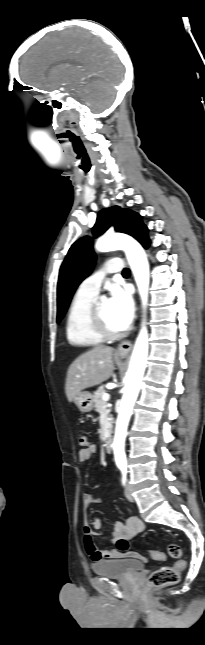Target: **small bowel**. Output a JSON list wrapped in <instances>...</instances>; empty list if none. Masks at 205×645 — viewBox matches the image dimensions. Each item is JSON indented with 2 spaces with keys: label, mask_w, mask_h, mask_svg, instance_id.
I'll list each match as a JSON object with an SVG mask.
<instances>
[{
  "label": "small bowel",
  "mask_w": 205,
  "mask_h": 645,
  "mask_svg": "<svg viewBox=\"0 0 205 645\" xmlns=\"http://www.w3.org/2000/svg\"><path fill=\"white\" fill-rule=\"evenodd\" d=\"M96 453L97 447L95 445H90L88 448L81 449L78 452V460L79 462H86ZM101 502V498L95 495L89 493H85L83 495L85 510L89 509L91 506L98 505ZM101 527L102 519L100 517L94 519L92 526L85 523L83 527L85 549L93 562L120 558H133L141 561L145 560V558L137 552H122L116 547V543L119 539L129 541L144 530L145 525L138 517L131 516L127 518L125 522L116 521L114 523L109 548H99L94 542V537L100 534L99 531Z\"/></svg>",
  "instance_id": "c3829d8e"
}]
</instances>
